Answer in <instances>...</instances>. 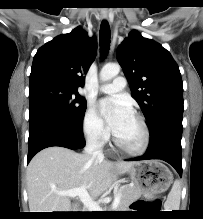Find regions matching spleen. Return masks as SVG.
Masks as SVG:
<instances>
[{"label": "spleen", "instance_id": "1", "mask_svg": "<svg viewBox=\"0 0 203 219\" xmlns=\"http://www.w3.org/2000/svg\"><path fill=\"white\" fill-rule=\"evenodd\" d=\"M180 195H181L180 182L176 180L164 204L165 211L179 210Z\"/></svg>", "mask_w": 203, "mask_h": 219}]
</instances>
